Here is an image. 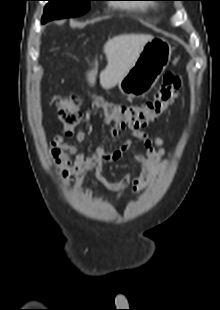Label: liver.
<instances>
[{
	"label": "liver",
	"instance_id": "liver-1",
	"mask_svg": "<svg viewBox=\"0 0 220 310\" xmlns=\"http://www.w3.org/2000/svg\"><path fill=\"white\" fill-rule=\"evenodd\" d=\"M153 38L149 34H123L109 39L104 45L107 66L100 73V84L111 89L126 75L135 63L144 45ZM96 72L87 73V80L94 86Z\"/></svg>",
	"mask_w": 220,
	"mask_h": 310
}]
</instances>
